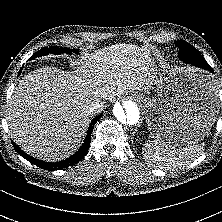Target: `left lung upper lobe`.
<instances>
[{
    "mask_svg": "<svg viewBox=\"0 0 222 222\" xmlns=\"http://www.w3.org/2000/svg\"><path fill=\"white\" fill-rule=\"evenodd\" d=\"M175 44L179 47V59L181 61H185V59H191L200 63L203 69L211 68L203 56L191 44L181 39L175 41Z\"/></svg>",
    "mask_w": 222,
    "mask_h": 222,
    "instance_id": "obj_1",
    "label": "left lung upper lobe"
}]
</instances>
